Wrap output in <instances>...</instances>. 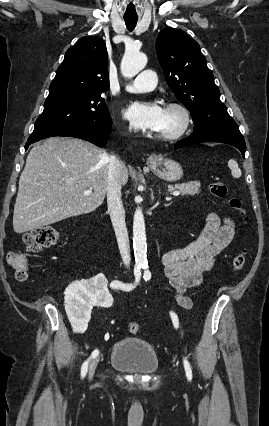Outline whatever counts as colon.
Wrapping results in <instances>:
<instances>
[{
	"label": "colon",
	"instance_id": "5ec220e1",
	"mask_svg": "<svg viewBox=\"0 0 269 426\" xmlns=\"http://www.w3.org/2000/svg\"><path fill=\"white\" fill-rule=\"evenodd\" d=\"M210 193L219 199L227 198V187L222 182H212L209 185ZM229 207L236 211L245 222L248 221V214L242 207V202L238 198L227 199ZM61 237L60 231L53 226H42L26 233L23 237V242L27 251L36 252L45 248L52 247L57 244ZM7 264L13 270L15 278L18 281H26L29 278L30 270L27 262L26 253L20 251H10L6 256ZM246 261L244 252L237 254L232 262L235 271L241 270ZM141 330V324L131 322L128 324V331L131 334H137Z\"/></svg>",
	"mask_w": 269,
	"mask_h": 426
}]
</instances>
